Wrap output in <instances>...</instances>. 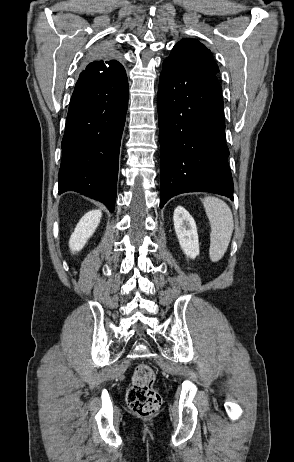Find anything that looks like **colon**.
Masks as SVG:
<instances>
[{"label":"colon","mask_w":294,"mask_h":462,"mask_svg":"<svg viewBox=\"0 0 294 462\" xmlns=\"http://www.w3.org/2000/svg\"><path fill=\"white\" fill-rule=\"evenodd\" d=\"M155 380V372L148 364L141 363L134 370L126 399L130 409L139 416H151L161 406L162 398L154 389Z\"/></svg>","instance_id":"5ec220e1"}]
</instances>
